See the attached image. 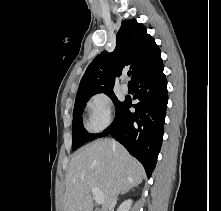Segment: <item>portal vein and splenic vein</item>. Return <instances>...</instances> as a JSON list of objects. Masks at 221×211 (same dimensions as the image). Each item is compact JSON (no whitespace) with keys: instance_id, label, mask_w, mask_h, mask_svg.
<instances>
[{"instance_id":"18ae733b","label":"portal vein and splenic vein","mask_w":221,"mask_h":211,"mask_svg":"<svg viewBox=\"0 0 221 211\" xmlns=\"http://www.w3.org/2000/svg\"><path fill=\"white\" fill-rule=\"evenodd\" d=\"M91 190L96 203L102 204L104 202V194L96 187H93Z\"/></svg>"}]
</instances>
